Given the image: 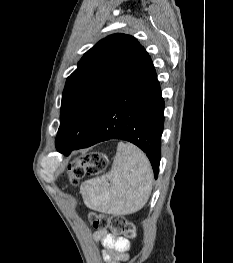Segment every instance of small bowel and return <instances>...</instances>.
<instances>
[{
  "label": "small bowel",
  "instance_id": "c3829d8e",
  "mask_svg": "<svg viewBox=\"0 0 233 263\" xmlns=\"http://www.w3.org/2000/svg\"><path fill=\"white\" fill-rule=\"evenodd\" d=\"M93 238L102 243L106 263H122L129 258L130 242L127 238L107 230L96 231Z\"/></svg>",
  "mask_w": 233,
  "mask_h": 263
}]
</instances>
